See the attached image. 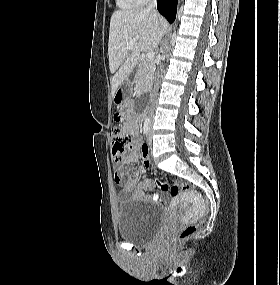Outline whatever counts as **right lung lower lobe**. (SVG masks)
Here are the masks:
<instances>
[{
    "instance_id": "1",
    "label": "right lung lower lobe",
    "mask_w": 280,
    "mask_h": 285,
    "mask_svg": "<svg viewBox=\"0 0 280 285\" xmlns=\"http://www.w3.org/2000/svg\"><path fill=\"white\" fill-rule=\"evenodd\" d=\"M178 0H157L158 11L168 20L173 23L176 17V7Z\"/></svg>"
}]
</instances>
